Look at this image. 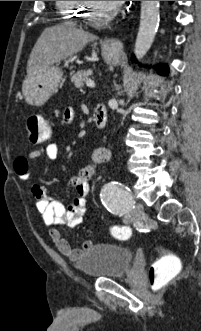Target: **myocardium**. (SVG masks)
I'll list each match as a JSON object with an SVG mask.
<instances>
[{
    "label": "myocardium",
    "mask_w": 201,
    "mask_h": 331,
    "mask_svg": "<svg viewBox=\"0 0 201 331\" xmlns=\"http://www.w3.org/2000/svg\"><path fill=\"white\" fill-rule=\"evenodd\" d=\"M86 8L83 11V19L86 23L93 25V26H101L111 20L115 14L116 9H112L108 13L104 14L102 17L94 18L90 14V8L92 6V1H85Z\"/></svg>",
    "instance_id": "obj_1"
}]
</instances>
